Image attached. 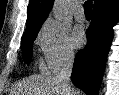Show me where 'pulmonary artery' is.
<instances>
[{
	"instance_id": "1",
	"label": "pulmonary artery",
	"mask_w": 119,
	"mask_h": 95,
	"mask_svg": "<svg viewBox=\"0 0 119 95\" xmlns=\"http://www.w3.org/2000/svg\"><path fill=\"white\" fill-rule=\"evenodd\" d=\"M75 18L79 22L85 21V14L82 7H78L75 12Z\"/></svg>"
}]
</instances>
